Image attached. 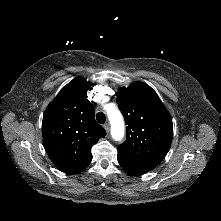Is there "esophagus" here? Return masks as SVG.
I'll list each match as a JSON object with an SVG mask.
<instances>
[{
    "instance_id": "esophagus-1",
    "label": "esophagus",
    "mask_w": 221,
    "mask_h": 221,
    "mask_svg": "<svg viewBox=\"0 0 221 221\" xmlns=\"http://www.w3.org/2000/svg\"><path fill=\"white\" fill-rule=\"evenodd\" d=\"M104 129H105L106 132L108 133V132H109V129H110V124H109V123H105V124H104Z\"/></svg>"
}]
</instances>
